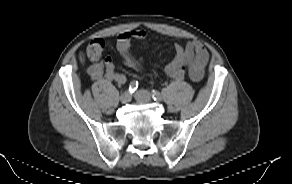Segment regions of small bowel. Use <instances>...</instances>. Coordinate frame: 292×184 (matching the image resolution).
Wrapping results in <instances>:
<instances>
[{
    "instance_id": "small-bowel-1",
    "label": "small bowel",
    "mask_w": 292,
    "mask_h": 184,
    "mask_svg": "<svg viewBox=\"0 0 292 184\" xmlns=\"http://www.w3.org/2000/svg\"><path fill=\"white\" fill-rule=\"evenodd\" d=\"M146 38V32L141 29H134L122 32L116 40V49L126 65L136 69H143L144 62L131 50L133 40L142 41ZM177 59L168 64L165 72L168 76L181 79L185 72L180 68V64L186 63L189 66V74L193 81H200L203 78L209 54L204 45L198 41L188 42L186 45H176ZM90 77L99 82L115 81L124 83L126 76L124 73L116 72L114 64L110 58L96 60L88 69Z\"/></svg>"
}]
</instances>
